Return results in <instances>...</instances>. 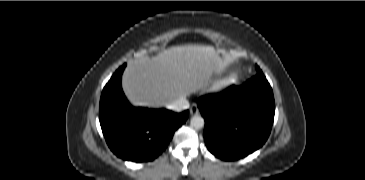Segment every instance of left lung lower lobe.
Masks as SVG:
<instances>
[{
	"label": "left lung lower lobe",
	"mask_w": 365,
	"mask_h": 180,
	"mask_svg": "<svg viewBox=\"0 0 365 180\" xmlns=\"http://www.w3.org/2000/svg\"><path fill=\"white\" fill-rule=\"evenodd\" d=\"M197 105L205 119L206 146L223 160H237L254 152L271 132L275 102L263 74L242 86L203 96Z\"/></svg>",
	"instance_id": "0a47b994"
}]
</instances>
